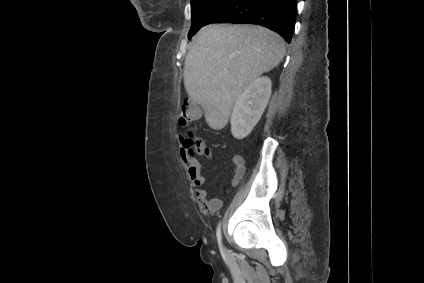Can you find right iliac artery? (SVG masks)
I'll return each instance as SVG.
<instances>
[{
  "label": "right iliac artery",
  "instance_id": "82829eb1",
  "mask_svg": "<svg viewBox=\"0 0 424 283\" xmlns=\"http://www.w3.org/2000/svg\"><path fill=\"white\" fill-rule=\"evenodd\" d=\"M216 236H217V240H218V243L220 245V248L223 251L224 248H223V244H222L221 224L220 223L218 224V227H217Z\"/></svg>",
  "mask_w": 424,
  "mask_h": 283
}]
</instances>
